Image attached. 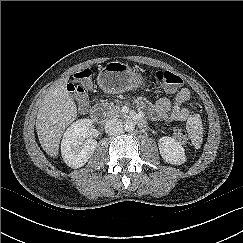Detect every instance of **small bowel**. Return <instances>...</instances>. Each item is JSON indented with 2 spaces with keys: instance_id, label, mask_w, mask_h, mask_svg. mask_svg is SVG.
<instances>
[{
  "instance_id": "1",
  "label": "small bowel",
  "mask_w": 243,
  "mask_h": 243,
  "mask_svg": "<svg viewBox=\"0 0 243 243\" xmlns=\"http://www.w3.org/2000/svg\"><path fill=\"white\" fill-rule=\"evenodd\" d=\"M189 98L190 91L187 88L181 89L173 101L168 97H161L152 107L151 116L161 121H186L190 116V111L183 105Z\"/></svg>"
}]
</instances>
